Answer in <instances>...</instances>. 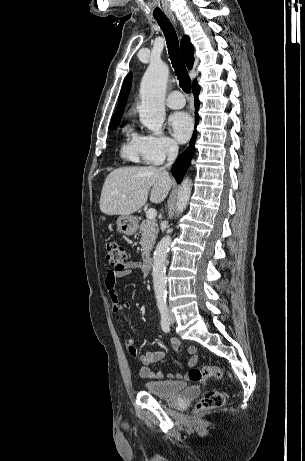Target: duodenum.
<instances>
[{"label": "duodenum", "instance_id": "410a0bca", "mask_svg": "<svg viewBox=\"0 0 305 461\" xmlns=\"http://www.w3.org/2000/svg\"><path fill=\"white\" fill-rule=\"evenodd\" d=\"M154 260L151 256L147 255L144 258V266L147 270H150L153 267Z\"/></svg>", "mask_w": 305, "mask_h": 461}]
</instances>
